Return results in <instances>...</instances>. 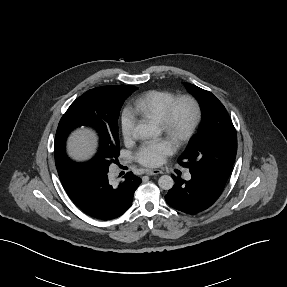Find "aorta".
Listing matches in <instances>:
<instances>
[{"instance_id": "aorta-1", "label": "aorta", "mask_w": 287, "mask_h": 287, "mask_svg": "<svg viewBox=\"0 0 287 287\" xmlns=\"http://www.w3.org/2000/svg\"><path fill=\"white\" fill-rule=\"evenodd\" d=\"M156 132V128L153 125L141 123L135 128V133L144 138L151 137ZM158 185L163 190H169L174 185V180L169 175H163L158 179Z\"/></svg>"}]
</instances>
